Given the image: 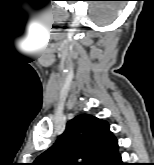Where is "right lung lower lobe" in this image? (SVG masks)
Wrapping results in <instances>:
<instances>
[{
	"label": "right lung lower lobe",
	"mask_w": 154,
	"mask_h": 165,
	"mask_svg": "<svg viewBox=\"0 0 154 165\" xmlns=\"http://www.w3.org/2000/svg\"><path fill=\"white\" fill-rule=\"evenodd\" d=\"M118 153L117 139L113 136L104 146L97 161L93 165H124Z\"/></svg>",
	"instance_id": "98d812e1"
}]
</instances>
